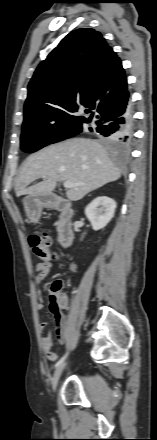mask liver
Masks as SVG:
<instances>
[{"instance_id":"liver-1","label":"liver","mask_w":157,"mask_h":440,"mask_svg":"<svg viewBox=\"0 0 157 440\" xmlns=\"http://www.w3.org/2000/svg\"><path fill=\"white\" fill-rule=\"evenodd\" d=\"M120 177L121 171L98 141L74 138L30 155L20 169L15 193L17 197L48 195L58 181H70L74 186L67 190L66 196L71 201H78ZM39 178H43V181L28 187Z\"/></svg>"}]
</instances>
